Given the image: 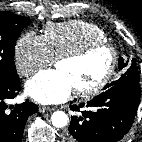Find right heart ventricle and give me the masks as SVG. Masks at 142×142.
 Masks as SVG:
<instances>
[{"mask_svg":"<svg viewBox=\"0 0 142 142\" xmlns=\"http://www.w3.org/2000/svg\"><path fill=\"white\" fill-rule=\"evenodd\" d=\"M43 39L53 59H57L86 44L106 41L107 37L97 25L82 20H73L47 24L44 28Z\"/></svg>","mask_w":142,"mask_h":142,"instance_id":"e07e8e85","label":"right heart ventricle"}]
</instances>
